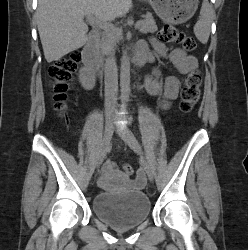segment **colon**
<instances>
[{"mask_svg": "<svg viewBox=\"0 0 248 250\" xmlns=\"http://www.w3.org/2000/svg\"><path fill=\"white\" fill-rule=\"evenodd\" d=\"M160 38L165 42L179 43L187 51H194L197 46L191 36L184 34L169 23L162 27ZM79 63L80 54L72 52L68 57L58 60L48 68V75L52 80L54 107L59 112L66 109L68 92L71 89ZM200 85L201 73L199 70L191 71L186 76L181 90L180 109L182 112L189 113L193 110L199 100ZM122 171L127 177L134 173L130 164L122 165Z\"/></svg>", "mask_w": 248, "mask_h": 250, "instance_id": "5ec220e1", "label": "colon"}]
</instances>
